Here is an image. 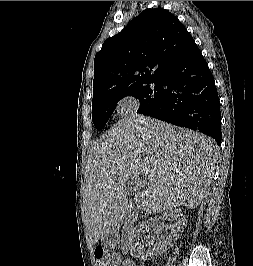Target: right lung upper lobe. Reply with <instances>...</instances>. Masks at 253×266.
I'll return each instance as SVG.
<instances>
[{"label":"right lung upper lobe","mask_w":253,"mask_h":266,"mask_svg":"<svg viewBox=\"0 0 253 266\" xmlns=\"http://www.w3.org/2000/svg\"><path fill=\"white\" fill-rule=\"evenodd\" d=\"M198 47L168 10L146 9L107 39L94 59L93 102L151 81L162 80Z\"/></svg>","instance_id":"right-lung-upper-lobe-1"}]
</instances>
